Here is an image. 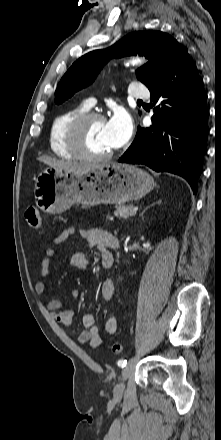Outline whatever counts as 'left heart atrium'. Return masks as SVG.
<instances>
[{
	"label": "left heart atrium",
	"instance_id": "39dd6f15",
	"mask_svg": "<svg viewBox=\"0 0 221 440\" xmlns=\"http://www.w3.org/2000/svg\"><path fill=\"white\" fill-rule=\"evenodd\" d=\"M132 131V119L123 109L117 110L106 122V132L112 149L124 145L131 137Z\"/></svg>",
	"mask_w": 221,
	"mask_h": 440
}]
</instances>
